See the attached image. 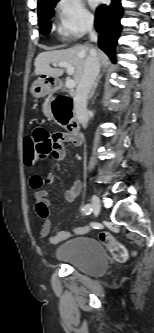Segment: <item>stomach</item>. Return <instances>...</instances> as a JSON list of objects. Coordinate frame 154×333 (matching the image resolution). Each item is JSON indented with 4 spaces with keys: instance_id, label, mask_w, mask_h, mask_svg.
<instances>
[{
    "instance_id": "1",
    "label": "stomach",
    "mask_w": 154,
    "mask_h": 333,
    "mask_svg": "<svg viewBox=\"0 0 154 333\" xmlns=\"http://www.w3.org/2000/svg\"><path fill=\"white\" fill-rule=\"evenodd\" d=\"M50 91V84L46 83L45 79H37L31 86V93L34 97H44Z\"/></svg>"
}]
</instances>
